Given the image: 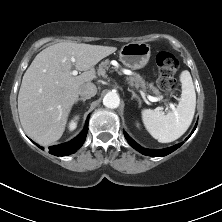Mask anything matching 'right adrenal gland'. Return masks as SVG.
<instances>
[{
  "label": "right adrenal gland",
  "instance_id": "obj_1",
  "mask_svg": "<svg viewBox=\"0 0 222 222\" xmlns=\"http://www.w3.org/2000/svg\"><path fill=\"white\" fill-rule=\"evenodd\" d=\"M87 100V98H78L75 102V104H78L79 101H82L83 104L85 103V101Z\"/></svg>",
  "mask_w": 222,
  "mask_h": 222
}]
</instances>
